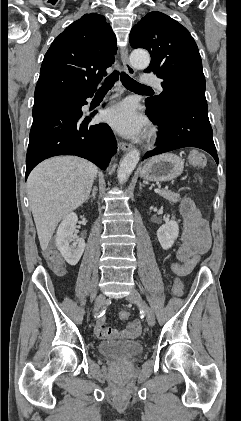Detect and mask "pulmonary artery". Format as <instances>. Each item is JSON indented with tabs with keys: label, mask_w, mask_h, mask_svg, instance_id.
Segmentation results:
<instances>
[{
	"label": "pulmonary artery",
	"mask_w": 241,
	"mask_h": 421,
	"mask_svg": "<svg viewBox=\"0 0 241 421\" xmlns=\"http://www.w3.org/2000/svg\"><path fill=\"white\" fill-rule=\"evenodd\" d=\"M143 83L147 84V85H152L155 88H157L158 90H162L161 82L157 77H154V76L145 77L143 79Z\"/></svg>",
	"instance_id": "1"
}]
</instances>
